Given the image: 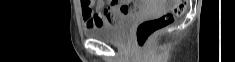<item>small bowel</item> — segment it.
Returning a JSON list of instances; mask_svg holds the SVG:
<instances>
[{
    "label": "small bowel",
    "mask_w": 235,
    "mask_h": 62,
    "mask_svg": "<svg viewBox=\"0 0 235 62\" xmlns=\"http://www.w3.org/2000/svg\"><path fill=\"white\" fill-rule=\"evenodd\" d=\"M82 18L86 29H94L103 26L105 23H111V18L117 12L129 13L135 9V6L125 1H98L96 10L93 8L92 1H81Z\"/></svg>",
    "instance_id": "1"
}]
</instances>
